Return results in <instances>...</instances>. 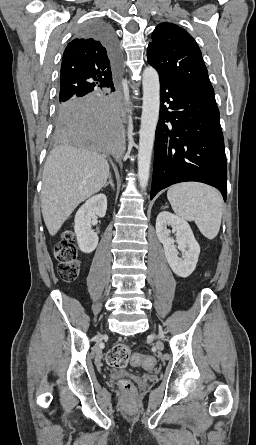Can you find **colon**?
I'll use <instances>...</instances> for the list:
<instances>
[{"label":"colon","mask_w":256,"mask_h":445,"mask_svg":"<svg viewBox=\"0 0 256 445\" xmlns=\"http://www.w3.org/2000/svg\"><path fill=\"white\" fill-rule=\"evenodd\" d=\"M55 256L59 261V273L62 279L65 281L74 280L79 273V262L75 237L72 232L64 233L61 241L55 246ZM130 361L135 365L147 364L151 366L153 364L151 357L143 354L133 355L130 346L123 343L114 345L106 354V362L113 368H125ZM119 388L127 394L134 392V385L129 380H121Z\"/></svg>","instance_id":"colon-1"}]
</instances>
